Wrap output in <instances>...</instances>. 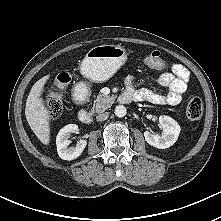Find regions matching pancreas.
Wrapping results in <instances>:
<instances>
[{
    "label": "pancreas",
    "instance_id": "1",
    "mask_svg": "<svg viewBox=\"0 0 221 221\" xmlns=\"http://www.w3.org/2000/svg\"><path fill=\"white\" fill-rule=\"evenodd\" d=\"M115 101V97H111L104 94H99L94 101V110L96 112H102L108 109L112 103Z\"/></svg>",
    "mask_w": 221,
    "mask_h": 221
}]
</instances>
